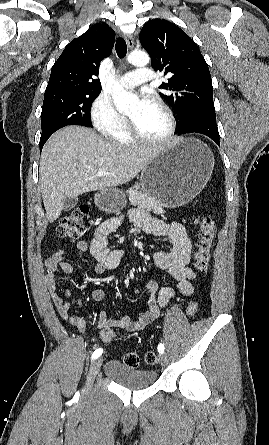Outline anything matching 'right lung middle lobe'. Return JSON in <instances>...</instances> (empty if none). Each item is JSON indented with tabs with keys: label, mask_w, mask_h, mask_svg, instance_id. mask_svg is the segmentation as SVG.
<instances>
[{
	"label": "right lung middle lobe",
	"mask_w": 269,
	"mask_h": 445,
	"mask_svg": "<svg viewBox=\"0 0 269 445\" xmlns=\"http://www.w3.org/2000/svg\"><path fill=\"white\" fill-rule=\"evenodd\" d=\"M100 92L58 91L44 94L41 112L42 146L58 129L67 125L92 127L89 110Z\"/></svg>",
	"instance_id": "obj_1"
}]
</instances>
